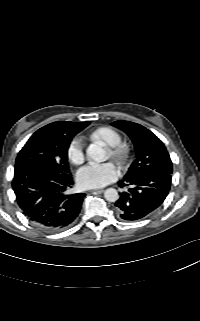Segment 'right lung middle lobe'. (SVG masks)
<instances>
[{"instance_id": "dd1d6c3e", "label": "right lung middle lobe", "mask_w": 200, "mask_h": 321, "mask_svg": "<svg viewBox=\"0 0 200 321\" xmlns=\"http://www.w3.org/2000/svg\"><path fill=\"white\" fill-rule=\"evenodd\" d=\"M89 123L75 126L68 133H55L48 125L40 128L18 153L15 168L29 163L46 164L57 173H70L68 163L70 142Z\"/></svg>"}]
</instances>
